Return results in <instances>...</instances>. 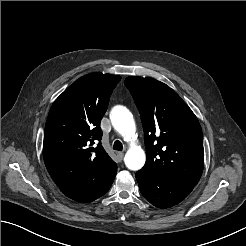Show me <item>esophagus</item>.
<instances>
[{
  "instance_id": "1",
  "label": "esophagus",
  "mask_w": 246,
  "mask_h": 246,
  "mask_svg": "<svg viewBox=\"0 0 246 246\" xmlns=\"http://www.w3.org/2000/svg\"><path fill=\"white\" fill-rule=\"evenodd\" d=\"M117 157H118L119 161H122V159L124 157V153L123 152H118L117 153Z\"/></svg>"
}]
</instances>
